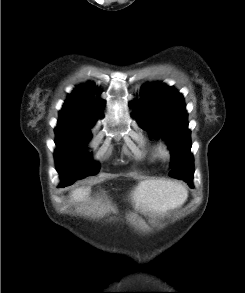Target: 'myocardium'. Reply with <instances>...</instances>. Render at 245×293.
<instances>
[{
    "mask_svg": "<svg viewBox=\"0 0 245 293\" xmlns=\"http://www.w3.org/2000/svg\"><path fill=\"white\" fill-rule=\"evenodd\" d=\"M159 154L161 156V158L165 159V160H169L171 158V150L169 148V146L167 145H162L159 149Z\"/></svg>",
    "mask_w": 245,
    "mask_h": 293,
    "instance_id": "f54148a6",
    "label": "myocardium"
}]
</instances>
